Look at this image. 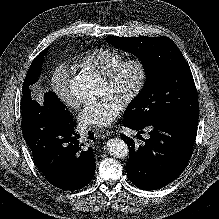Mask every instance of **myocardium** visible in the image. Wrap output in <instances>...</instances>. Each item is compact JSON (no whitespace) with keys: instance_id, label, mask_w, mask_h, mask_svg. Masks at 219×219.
<instances>
[{"instance_id":"myocardium-1","label":"myocardium","mask_w":219,"mask_h":219,"mask_svg":"<svg viewBox=\"0 0 219 219\" xmlns=\"http://www.w3.org/2000/svg\"><path fill=\"white\" fill-rule=\"evenodd\" d=\"M128 66H134L137 69V79L130 91V93L122 100L121 105L129 106L132 104L141 94L148 75V69L146 63L138 57H130L123 59L113 68H111L106 74L101 76V80L108 86L115 83L120 73Z\"/></svg>"}]
</instances>
